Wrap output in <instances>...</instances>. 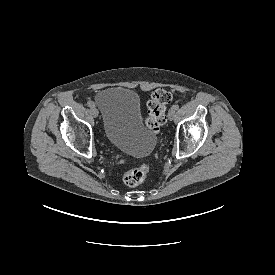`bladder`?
Segmentation results:
<instances>
[{
    "mask_svg": "<svg viewBox=\"0 0 275 275\" xmlns=\"http://www.w3.org/2000/svg\"><path fill=\"white\" fill-rule=\"evenodd\" d=\"M95 103L102 112L104 135L109 143L135 157L153 152L156 137L141 118L135 91L108 88L96 95Z\"/></svg>",
    "mask_w": 275,
    "mask_h": 275,
    "instance_id": "31cf9c89",
    "label": "bladder"
}]
</instances>
